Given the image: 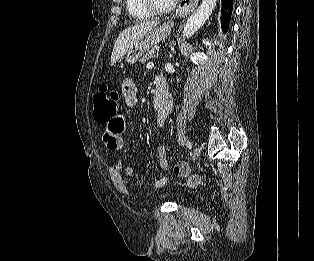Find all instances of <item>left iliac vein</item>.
<instances>
[{"label": "left iliac vein", "instance_id": "left-iliac-vein-1", "mask_svg": "<svg viewBox=\"0 0 314 261\" xmlns=\"http://www.w3.org/2000/svg\"><path fill=\"white\" fill-rule=\"evenodd\" d=\"M200 152V149L198 147H195L192 152V160L195 161L196 159H198Z\"/></svg>", "mask_w": 314, "mask_h": 261}]
</instances>
